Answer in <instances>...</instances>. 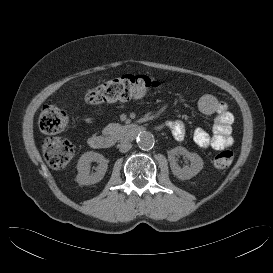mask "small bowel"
Segmentation results:
<instances>
[{
  "label": "small bowel",
  "instance_id": "obj_1",
  "mask_svg": "<svg viewBox=\"0 0 273 273\" xmlns=\"http://www.w3.org/2000/svg\"><path fill=\"white\" fill-rule=\"evenodd\" d=\"M198 108L201 113L206 115H215L212 133H208L203 128H196L193 132V139L200 148H213L221 150L230 147L234 143L231 136V124L233 115L228 105L211 94L203 95L198 102ZM165 126L171 131L173 137L181 141L186 134L185 124L178 119L168 120Z\"/></svg>",
  "mask_w": 273,
  "mask_h": 273
}]
</instances>
